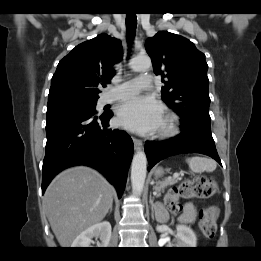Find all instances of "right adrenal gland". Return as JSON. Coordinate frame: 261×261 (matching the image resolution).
<instances>
[{
	"label": "right adrenal gland",
	"instance_id": "obj_1",
	"mask_svg": "<svg viewBox=\"0 0 261 261\" xmlns=\"http://www.w3.org/2000/svg\"><path fill=\"white\" fill-rule=\"evenodd\" d=\"M112 212V207L110 208V212L109 213H111Z\"/></svg>",
	"mask_w": 261,
	"mask_h": 261
}]
</instances>
